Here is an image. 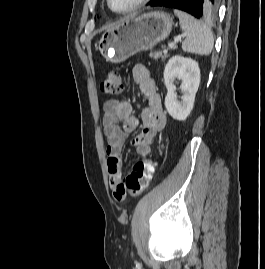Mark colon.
I'll return each instance as SVG.
<instances>
[{
	"label": "colon",
	"instance_id": "colon-1",
	"mask_svg": "<svg viewBox=\"0 0 265 269\" xmlns=\"http://www.w3.org/2000/svg\"><path fill=\"white\" fill-rule=\"evenodd\" d=\"M124 88L123 79L117 70H110L102 83V91L105 94L116 96ZM155 166L149 160L137 161L128 173L122 189H118L117 198L124 199L126 196L136 197L144 192L151 184Z\"/></svg>",
	"mask_w": 265,
	"mask_h": 269
}]
</instances>
